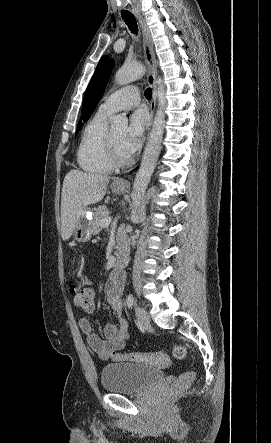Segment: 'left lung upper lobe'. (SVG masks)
<instances>
[{"label":"left lung upper lobe","instance_id":"1","mask_svg":"<svg viewBox=\"0 0 271 443\" xmlns=\"http://www.w3.org/2000/svg\"><path fill=\"white\" fill-rule=\"evenodd\" d=\"M113 64V60H110L107 55L100 59L84 95L82 103V116L78 123L77 130H79L81 127V120L86 121L90 118L95 107L97 106V103L103 96L112 72Z\"/></svg>","mask_w":271,"mask_h":443}]
</instances>
